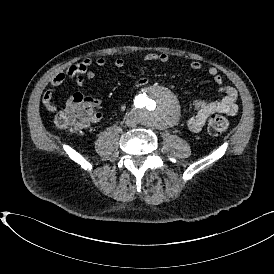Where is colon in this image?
<instances>
[{
    "label": "colon",
    "mask_w": 274,
    "mask_h": 274,
    "mask_svg": "<svg viewBox=\"0 0 274 274\" xmlns=\"http://www.w3.org/2000/svg\"><path fill=\"white\" fill-rule=\"evenodd\" d=\"M84 98H73V102L67 105L55 117V125L65 130H74L91 123L94 120L93 111L83 103ZM229 126L226 117L213 115L208 121V131L213 135L224 134Z\"/></svg>",
    "instance_id": "colon-1"
}]
</instances>
